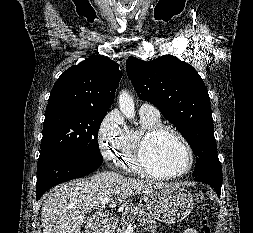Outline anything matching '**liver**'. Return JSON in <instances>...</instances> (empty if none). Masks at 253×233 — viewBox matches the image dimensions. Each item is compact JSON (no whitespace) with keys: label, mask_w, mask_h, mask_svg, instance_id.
<instances>
[{"label":"liver","mask_w":253,"mask_h":233,"mask_svg":"<svg viewBox=\"0 0 253 233\" xmlns=\"http://www.w3.org/2000/svg\"><path fill=\"white\" fill-rule=\"evenodd\" d=\"M167 184L127 178L116 172H99L59 185L44 198L41 208L43 233H81L85 214L113 195L119 202L146 194Z\"/></svg>","instance_id":"6515ba94"}]
</instances>
